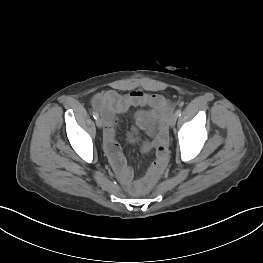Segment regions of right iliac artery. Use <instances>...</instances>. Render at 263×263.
Here are the masks:
<instances>
[{
	"mask_svg": "<svg viewBox=\"0 0 263 263\" xmlns=\"http://www.w3.org/2000/svg\"><path fill=\"white\" fill-rule=\"evenodd\" d=\"M93 117H94V119H98L99 118L98 113L97 112H93Z\"/></svg>",
	"mask_w": 263,
	"mask_h": 263,
	"instance_id": "1",
	"label": "right iliac artery"
}]
</instances>
